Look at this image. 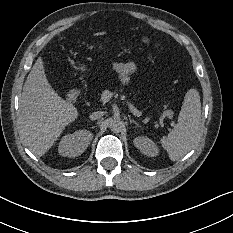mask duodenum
<instances>
[{
  "instance_id": "duodenum-1",
  "label": "duodenum",
  "mask_w": 233,
  "mask_h": 233,
  "mask_svg": "<svg viewBox=\"0 0 233 233\" xmlns=\"http://www.w3.org/2000/svg\"><path fill=\"white\" fill-rule=\"evenodd\" d=\"M81 94H82V90L81 89H78V88L72 89L67 94V100L70 103H74L81 96Z\"/></svg>"
}]
</instances>
